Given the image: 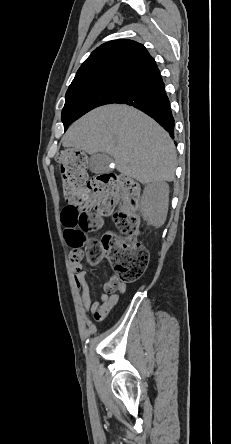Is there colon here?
I'll return each instance as SVG.
<instances>
[{
  "label": "colon",
  "mask_w": 231,
  "mask_h": 444,
  "mask_svg": "<svg viewBox=\"0 0 231 444\" xmlns=\"http://www.w3.org/2000/svg\"><path fill=\"white\" fill-rule=\"evenodd\" d=\"M57 165L67 201L62 211L65 228L81 234L95 231L102 226L105 216L114 213V222L122 234L106 233L101 239L85 241L84 255L88 264L96 265L106 257L112 265L113 273L104 282L105 293H114L122 283L141 278L148 267L149 253L133 237L139 229L140 187L137 181L112 173L89 179L86 156L74 149L61 151Z\"/></svg>",
  "instance_id": "1"
}]
</instances>
